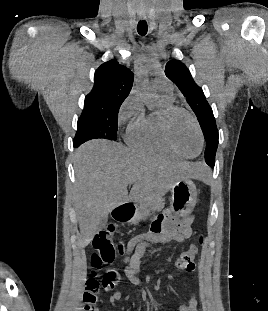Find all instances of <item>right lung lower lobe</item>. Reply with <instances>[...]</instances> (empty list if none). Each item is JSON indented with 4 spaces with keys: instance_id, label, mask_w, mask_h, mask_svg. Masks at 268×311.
Instances as JSON below:
<instances>
[{
    "instance_id": "1",
    "label": "right lung lower lobe",
    "mask_w": 268,
    "mask_h": 311,
    "mask_svg": "<svg viewBox=\"0 0 268 311\" xmlns=\"http://www.w3.org/2000/svg\"><path fill=\"white\" fill-rule=\"evenodd\" d=\"M73 145H74L75 148H77V147H79L81 144H80V143H75V142H73Z\"/></svg>"
}]
</instances>
